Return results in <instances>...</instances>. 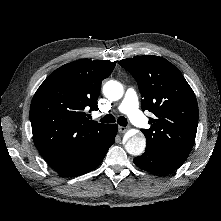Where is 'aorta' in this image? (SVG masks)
<instances>
[{"label":"aorta","mask_w":221,"mask_h":221,"mask_svg":"<svg viewBox=\"0 0 221 221\" xmlns=\"http://www.w3.org/2000/svg\"><path fill=\"white\" fill-rule=\"evenodd\" d=\"M124 93L123 85L116 80H109L103 86V94L112 101L119 100ZM146 147V139L143 134H137L128 139L125 144L126 151L134 156L141 155Z\"/></svg>","instance_id":"obj_1"}]
</instances>
